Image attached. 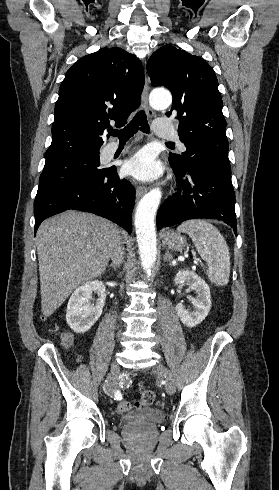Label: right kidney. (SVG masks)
Here are the masks:
<instances>
[{
  "label": "right kidney",
  "instance_id": "ca27d5eb",
  "mask_svg": "<svg viewBox=\"0 0 279 490\" xmlns=\"http://www.w3.org/2000/svg\"><path fill=\"white\" fill-rule=\"evenodd\" d=\"M92 292L99 294L96 306L89 304V300L92 298ZM105 292V286L99 280L86 282V284H82V286L76 288L68 302L66 312L67 324L73 332L84 334V332H88L94 326L105 306Z\"/></svg>",
  "mask_w": 279,
  "mask_h": 490
}]
</instances>
